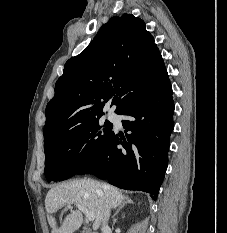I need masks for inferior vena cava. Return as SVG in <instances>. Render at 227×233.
Wrapping results in <instances>:
<instances>
[{"label": "inferior vena cava", "mask_w": 227, "mask_h": 233, "mask_svg": "<svg viewBox=\"0 0 227 233\" xmlns=\"http://www.w3.org/2000/svg\"><path fill=\"white\" fill-rule=\"evenodd\" d=\"M110 216V210L107 208L104 213V218L102 220V231L105 232L107 229H109L108 226V220Z\"/></svg>", "instance_id": "1"}]
</instances>
